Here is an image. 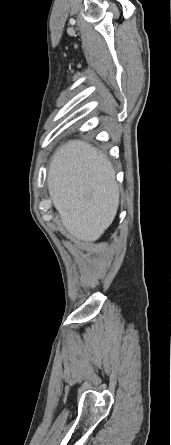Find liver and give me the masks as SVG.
Wrapping results in <instances>:
<instances>
[{
	"label": "liver",
	"mask_w": 171,
	"mask_h": 445,
	"mask_svg": "<svg viewBox=\"0 0 171 445\" xmlns=\"http://www.w3.org/2000/svg\"><path fill=\"white\" fill-rule=\"evenodd\" d=\"M47 181L54 207L73 238L94 242L112 224L119 205L115 171L90 144L72 140L59 147Z\"/></svg>",
	"instance_id": "1"
}]
</instances>
